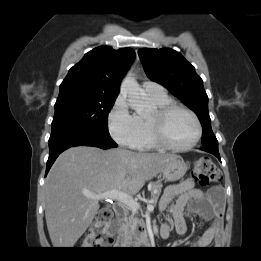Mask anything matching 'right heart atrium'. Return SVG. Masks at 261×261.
<instances>
[{"label": "right heart atrium", "mask_w": 261, "mask_h": 261, "mask_svg": "<svg viewBox=\"0 0 261 261\" xmlns=\"http://www.w3.org/2000/svg\"><path fill=\"white\" fill-rule=\"evenodd\" d=\"M107 121L110 135L116 142L123 146L135 147L139 137V125L122 95L115 99Z\"/></svg>", "instance_id": "obj_1"}]
</instances>
